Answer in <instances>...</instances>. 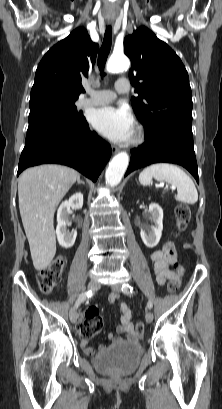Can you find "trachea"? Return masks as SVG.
<instances>
[{
  "instance_id": "3493384b",
  "label": "trachea",
  "mask_w": 222,
  "mask_h": 409,
  "mask_svg": "<svg viewBox=\"0 0 222 409\" xmlns=\"http://www.w3.org/2000/svg\"><path fill=\"white\" fill-rule=\"evenodd\" d=\"M111 43H112V27L107 26L105 34H104V39L102 46L100 48L99 54H98V66L99 70L101 72V76L104 75V67L111 49Z\"/></svg>"
}]
</instances>
